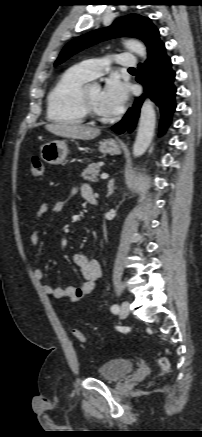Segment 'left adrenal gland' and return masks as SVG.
I'll use <instances>...</instances> for the list:
<instances>
[{"instance_id":"left-adrenal-gland-1","label":"left adrenal gland","mask_w":202,"mask_h":437,"mask_svg":"<svg viewBox=\"0 0 202 437\" xmlns=\"http://www.w3.org/2000/svg\"><path fill=\"white\" fill-rule=\"evenodd\" d=\"M107 187H108L107 197H109V196H111L113 194L114 189H115V187H114V179H111L108 182Z\"/></svg>"}]
</instances>
